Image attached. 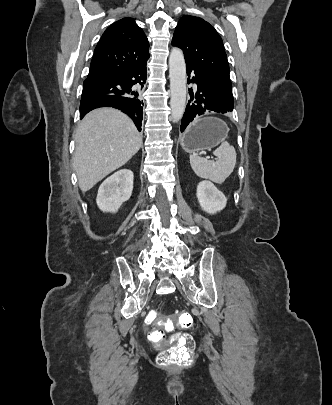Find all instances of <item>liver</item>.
<instances>
[{
    "mask_svg": "<svg viewBox=\"0 0 332 405\" xmlns=\"http://www.w3.org/2000/svg\"><path fill=\"white\" fill-rule=\"evenodd\" d=\"M75 142L74 170L81 191L86 192L139 151L142 135L121 111L100 108L81 121Z\"/></svg>",
    "mask_w": 332,
    "mask_h": 405,
    "instance_id": "liver-1",
    "label": "liver"
}]
</instances>
